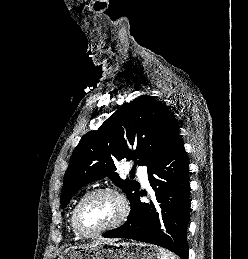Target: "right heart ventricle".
Segmentation results:
<instances>
[{
	"label": "right heart ventricle",
	"instance_id": "obj_1",
	"mask_svg": "<svg viewBox=\"0 0 248 259\" xmlns=\"http://www.w3.org/2000/svg\"><path fill=\"white\" fill-rule=\"evenodd\" d=\"M74 209H75V206H74V208L72 209V212H71L70 226H71V229H72L73 234L75 235V237L79 238V237H81V235L77 232V230L74 227V223H73V212H74Z\"/></svg>",
	"mask_w": 248,
	"mask_h": 259
}]
</instances>
